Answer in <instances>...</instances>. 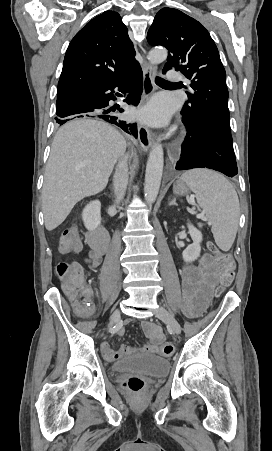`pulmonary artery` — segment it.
<instances>
[{
	"mask_svg": "<svg viewBox=\"0 0 272 451\" xmlns=\"http://www.w3.org/2000/svg\"><path fill=\"white\" fill-rule=\"evenodd\" d=\"M168 74H169L168 78H169L170 81H172V82L179 81L180 76H179L178 70L172 69V70H170V72Z\"/></svg>",
	"mask_w": 272,
	"mask_h": 451,
	"instance_id": "obj_1",
	"label": "pulmonary artery"
}]
</instances>
